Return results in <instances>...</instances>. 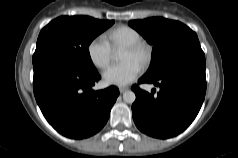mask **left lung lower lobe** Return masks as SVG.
Segmentation results:
<instances>
[{
    "label": "left lung lower lobe",
    "mask_w": 238,
    "mask_h": 158,
    "mask_svg": "<svg viewBox=\"0 0 238 158\" xmlns=\"http://www.w3.org/2000/svg\"><path fill=\"white\" fill-rule=\"evenodd\" d=\"M205 57L178 62L153 78L141 77L138 83H153L157 95L132 86L136 100L132 115L138 129L152 137L170 138L184 131L197 116L206 93Z\"/></svg>",
    "instance_id": "obj_1"
}]
</instances>
